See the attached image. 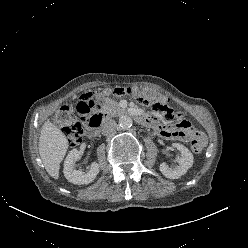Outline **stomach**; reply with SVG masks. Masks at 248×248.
<instances>
[{
  "instance_id": "0dacf381",
  "label": "stomach",
  "mask_w": 248,
  "mask_h": 248,
  "mask_svg": "<svg viewBox=\"0 0 248 248\" xmlns=\"http://www.w3.org/2000/svg\"><path fill=\"white\" fill-rule=\"evenodd\" d=\"M84 103L90 109H98L103 115H110L116 109V102L110 96H103L98 90H90L84 96Z\"/></svg>"
}]
</instances>
